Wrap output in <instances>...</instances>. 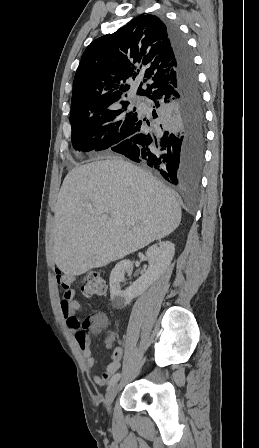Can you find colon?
Instances as JSON below:
<instances>
[{
  "label": "colon",
  "mask_w": 259,
  "mask_h": 448,
  "mask_svg": "<svg viewBox=\"0 0 259 448\" xmlns=\"http://www.w3.org/2000/svg\"><path fill=\"white\" fill-rule=\"evenodd\" d=\"M106 290V283L98 271L87 272L82 280L81 291L85 296L102 295ZM106 319L101 314L88 317L83 322V328L98 331L104 327Z\"/></svg>",
  "instance_id": "obj_1"
}]
</instances>
